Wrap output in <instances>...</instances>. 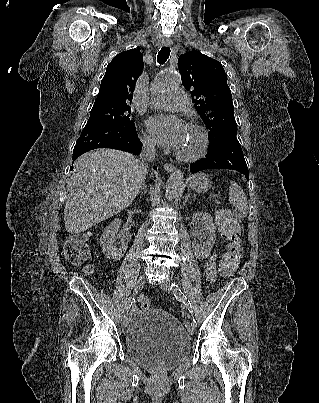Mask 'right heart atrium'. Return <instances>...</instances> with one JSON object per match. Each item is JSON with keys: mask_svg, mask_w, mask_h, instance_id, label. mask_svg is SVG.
<instances>
[{"mask_svg": "<svg viewBox=\"0 0 319 403\" xmlns=\"http://www.w3.org/2000/svg\"><path fill=\"white\" fill-rule=\"evenodd\" d=\"M142 141H143V144H144V146H145L146 148L152 149V148L154 147V143H153V141H152V139H151L150 137H148V136H143V137H142Z\"/></svg>", "mask_w": 319, "mask_h": 403, "instance_id": "1", "label": "right heart atrium"}]
</instances>
